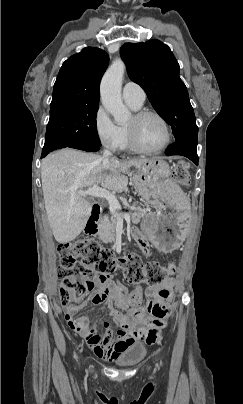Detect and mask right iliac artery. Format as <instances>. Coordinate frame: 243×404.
I'll list each match as a JSON object with an SVG mask.
<instances>
[{"mask_svg": "<svg viewBox=\"0 0 243 404\" xmlns=\"http://www.w3.org/2000/svg\"><path fill=\"white\" fill-rule=\"evenodd\" d=\"M74 357L77 359V355L74 353Z\"/></svg>", "mask_w": 243, "mask_h": 404, "instance_id": "right-iliac-artery-1", "label": "right iliac artery"}]
</instances>
